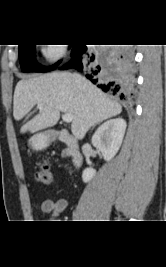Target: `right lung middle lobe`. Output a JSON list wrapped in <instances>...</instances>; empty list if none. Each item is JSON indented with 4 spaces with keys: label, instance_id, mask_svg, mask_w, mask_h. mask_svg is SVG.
<instances>
[{
    "label": "right lung middle lobe",
    "instance_id": "1",
    "mask_svg": "<svg viewBox=\"0 0 166 267\" xmlns=\"http://www.w3.org/2000/svg\"><path fill=\"white\" fill-rule=\"evenodd\" d=\"M35 50L32 44L19 45V59L23 72H47L53 69L58 63L51 67H43L35 61Z\"/></svg>",
    "mask_w": 166,
    "mask_h": 267
}]
</instances>
